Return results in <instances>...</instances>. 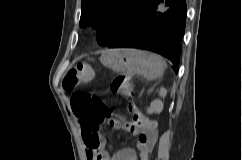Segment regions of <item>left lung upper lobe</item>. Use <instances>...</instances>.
Wrapping results in <instances>:
<instances>
[{
	"instance_id": "1",
	"label": "left lung upper lobe",
	"mask_w": 242,
	"mask_h": 160,
	"mask_svg": "<svg viewBox=\"0 0 242 160\" xmlns=\"http://www.w3.org/2000/svg\"><path fill=\"white\" fill-rule=\"evenodd\" d=\"M148 2L149 0H82L79 25L86 27L96 23L98 43L107 46L133 25Z\"/></svg>"
}]
</instances>
